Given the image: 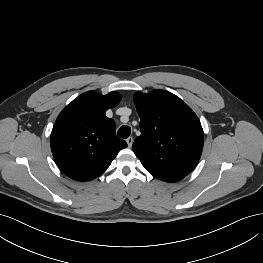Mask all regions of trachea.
<instances>
[{
  "label": "trachea",
  "instance_id": "3493384b",
  "mask_svg": "<svg viewBox=\"0 0 263 263\" xmlns=\"http://www.w3.org/2000/svg\"><path fill=\"white\" fill-rule=\"evenodd\" d=\"M118 136L126 139L129 137V135L131 134V128L128 125H123L119 128L118 132H117Z\"/></svg>",
  "mask_w": 263,
  "mask_h": 263
}]
</instances>
